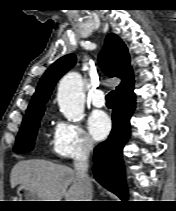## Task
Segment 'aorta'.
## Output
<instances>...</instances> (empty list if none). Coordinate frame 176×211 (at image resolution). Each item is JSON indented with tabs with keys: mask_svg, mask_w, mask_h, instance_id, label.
Returning <instances> with one entry per match:
<instances>
[{
	"mask_svg": "<svg viewBox=\"0 0 176 211\" xmlns=\"http://www.w3.org/2000/svg\"><path fill=\"white\" fill-rule=\"evenodd\" d=\"M60 111L68 120L78 121L83 116L84 92L82 77L71 72L65 75L59 83L57 94Z\"/></svg>",
	"mask_w": 176,
	"mask_h": 211,
	"instance_id": "762f6f07",
	"label": "aorta"
}]
</instances>
